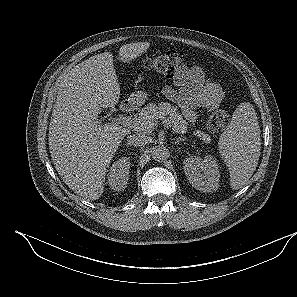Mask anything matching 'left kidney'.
<instances>
[{
	"label": "left kidney",
	"mask_w": 297,
	"mask_h": 297,
	"mask_svg": "<svg viewBox=\"0 0 297 297\" xmlns=\"http://www.w3.org/2000/svg\"><path fill=\"white\" fill-rule=\"evenodd\" d=\"M183 169L190 184L197 190L213 192L219 187L220 173L216 160L207 155L204 159L191 156L183 161Z\"/></svg>",
	"instance_id": "obj_1"
}]
</instances>
